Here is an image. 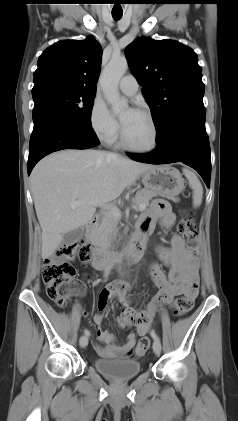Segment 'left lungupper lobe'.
<instances>
[{
	"label": "left lung upper lobe",
	"instance_id": "5c2ea615",
	"mask_svg": "<svg viewBox=\"0 0 238 421\" xmlns=\"http://www.w3.org/2000/svg\"><path fill=\"white\" fill-rule=\"evenodd\" d=\"M133 75L143 87L157 137L180 116L205 111L202 68L197 54L173 40L139 38L125 50Z\"/></svg>",
	"mask_w": 238,
	"mask_h": 421
}]
</instances>
